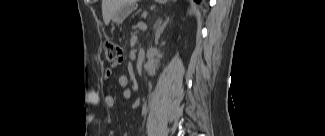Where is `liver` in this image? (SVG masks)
Returning a JSON list of instances; mask_svg holds the SVG:
<instances>
[{
    "mask_svg": "<svg viewBox=\"0 0 325 136\" xmlns=\"http://www.w3.org/2000/svg\"><path fill=\"white\" fill-rule=\"evenodd\" d=\"M135 1L127 0H102V15L105 25H108L112 19L113 14L127 3Z\"/></svg>",
    "mask_w": 325,
    "mask_h": 136,
    "instance_id": "1",
    "label": "liver"
}]
</instances>
